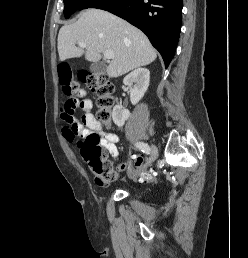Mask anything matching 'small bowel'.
<instances>
[{
    "mask_svg": "<svg viewBox=\"0 0 248 258\" xmlns=\"http://www.w3.org/2000/svg\"><path fill=\"white\" fill-rule=\"evenodd\" d=\"M76 105H78L82 111L81 121H73V125L75 126L77 133H79V135L82 137H85L90 133L98 134L103 147L114 159H117V142L119 137L115 133L104 132L100 121L92 113L93 102L89 97H87V92L84 89L79 90L77 94ZM66 138L68 139L67 135ZM128 168L129 166L127 163H120L118 165L119 171H128ZM94 185H103V180H94Z\"/></svg>",
    "mask_w": 248,
    "mask_h": 258,
    "instance_id": "c3829d8e",
    "label": "small bowel"
}]
</instances>
